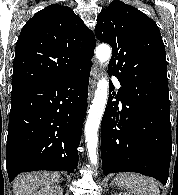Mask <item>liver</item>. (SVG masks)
Instances as JSON below:
<instances>
[{
    "mask_svg": "<svg viewBox=\"0 0 178 195\" xmlns=\"http://www.w3.org/2000/svg\"><path fill=\"white\" fill-rule=\"evenodd\" d=\"M60 174L56 172H33L18 175L13 182L14 195H33L41 187L59 182Z\"/></svg>",
    "mask_w": 178,
    "mask_h": 195,
    "instance_id": "liver-1",
    "label": "liver"
}]
</instances>
